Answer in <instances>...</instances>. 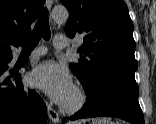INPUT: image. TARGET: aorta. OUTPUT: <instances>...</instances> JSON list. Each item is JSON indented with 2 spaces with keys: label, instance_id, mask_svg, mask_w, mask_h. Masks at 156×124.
Here are the masks:
<instances>
[{
  "label": "aorta",
  "instance_id": "762f6f07",
  "mask_svg": "<svg viewBox=\"0 0 156 124\" xmlns=\"http://www.w3.org/2000/svg\"><path fill=\"white\" fill-rule=\"evenodd\" d=\"M69 13L66 8L56 7L52 11V19L56 23H64L68 20Z\"/></svg>",
  "mask_w": 156,
  "mask_h": 124
}]
</instances>
